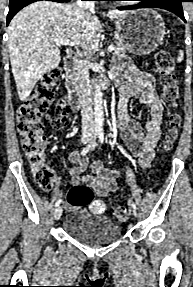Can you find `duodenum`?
Masks as SVG:
<instances>
[{"mask_svg":"<svg viewBox=\"0 0 193 287\" xmlns=\"http://www.w3.org/2000/svg\"><path fill=\"white\" fill-rule=\"evenodd\" d=\"M76 57L73 54L66 55L64 59V69L66 75V88L68 92V99L70 107L73 111L81 110L83 106L82 94L77 88L75 78H74V69L76 65Z\"/></svg>","mask_w":193,"mask_h":287,"instance_id":"duodenum-1","label":"duodenum"}]
</instances>
